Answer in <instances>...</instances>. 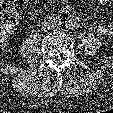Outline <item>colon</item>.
<instances>
[{"label":"colon","instance_id":"obj_1","mask_svg":"<svg viewBox=\"0 0 113 113\" xmlns=\"http://www.w3.org/2000/svg\"><path fill=\"white\" fill-rule=\"evenodd\" d=\"M4 1H7L4 3ZM8 1L10 0H0V28L6 24V15H5V8L7 7ZM27 1H37V0H27Z\"/></svg>","mask_w":113,"mask_h":113}]
</instances>
